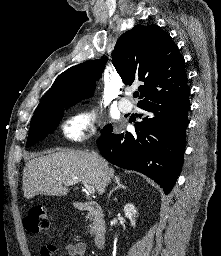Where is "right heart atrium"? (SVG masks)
<instances>
[{"mask_svg":"<svg viewBox=\"0 0 221 256\" xmlns=\"http://www.w3.org/2000/svg\"><path fill=\"white\" fill-rule=\"evenodd\" d=\"M99 124V113L95 107L89 106L70 113L61 124L64 140L79 142L96 133Z\"/></svg>","mask_w":221,"mask_h":256,"instance_id":"d8ad5b80","label":"right heart atrium"}]
</instances>
